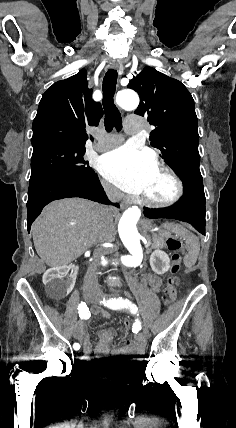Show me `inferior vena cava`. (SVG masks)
<instances>
[{
	"instance_id": "602c4592",
	"label": "inferior vena cava",
	"mask_w": 236,
	"mask_h": 428,
	"mask_svg": "<svg viewBox=\"0 0 236 428\" xmlns=\"http://www.w3.org/2000/svg\"><path fill=\"white\" fill-rule=\"evenodd\" d=\"M104 188L106 190V194L107 196H109L110 200H114L115 198V188H113V186H111V184H104ZM113 208L112 206H102V212L101 214H103V216H105V220L104 223L107 226L112 225L114 217H113V212H112ZM96 240H99V237H96ZM105 250L106 249H102V248H97L95 249L94 253H93V258H92V263L94 265H89V272H85V279H84V287L83 289V295L87 298H96L99 293H101V290L99 289V283L97 281V276L99 275L97 272L94 274L95 276H93L91 274V272L93 270H97V266L99 265V263H97V261H99V257H102L105 254Z\"/></svg>"
}]
</instances>
